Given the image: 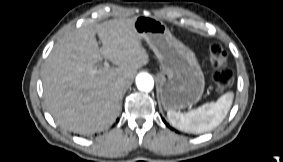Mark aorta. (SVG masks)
<instances>
[{
    "label": "aorta",
    "instance_id": "obj_1",
    "mask_svg": "<svg viewBox=\"0 0 283 162\" xmlns=\"http://www.w3.org/2000/svg\"><path fill=\"white\" fill-rule=\"evenodd\" d=\"M137 88L141 91H151L154 87V80L148 73H139L136 77Z\"/></svg>",
    "mask_w": 283,
    "mask_h": 162
}]
</instances>
